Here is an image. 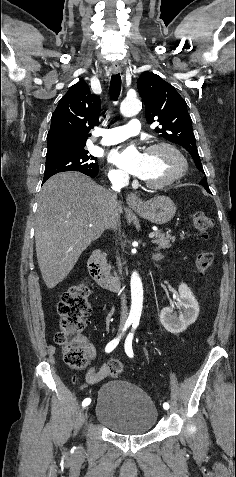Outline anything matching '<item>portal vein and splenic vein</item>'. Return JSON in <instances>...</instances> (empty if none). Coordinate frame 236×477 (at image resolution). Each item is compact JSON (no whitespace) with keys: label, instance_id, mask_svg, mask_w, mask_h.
<instances>
[{"label":"portal vein and splenic vein","instance_id":"1","mask_svg":"<svg viewBox=\"0 0 236 477\" xmlns=\"http://www.w3.org/2000/svg\"><path fill=\"white\" fill-rule=\"evenodd\" d=\"M154 236H155V233H153V232H151V233L149 234V238H154Z\"/></svg>","mask_w":236,"mask_h":477}]
</instances>
